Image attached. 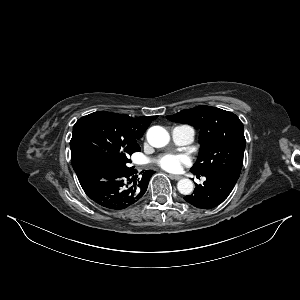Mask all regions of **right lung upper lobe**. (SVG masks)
<instances>
[{"label": "right lung upper lobe", "mask_w": 300, "mask_h": 300, "mask_svg": "<svg viewBox=\"0 0 300 300\" xmlns=\"http://www.w3.org/2000/svg\"><path fill=\"white\" fill-rule=\"evenodd\" d=\"M95 113H97V115L101 117L114 132L123 139V141L129 143L133 147L139 146L137 140L143 136L150 123L157 118V116L131 118L124 114L106 111Z\"/></svg>", "instance_id": "right-lung-upper-lobe-1"}]
</instances>
